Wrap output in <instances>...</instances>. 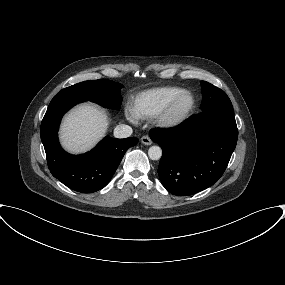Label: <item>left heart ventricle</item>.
<instances>
[{"label": "left heart ventricle", "mask_w": 285, "mask_h": 285, "mask_svg": "<svg viewBox=\"0 0 285 285\" xmlns=\"http://www.w3.org/2000/svg\"><path fill=\"white\" fill-rule=\"evenodd\" d=\"M189 103H190V99H189V98L183 99V100L181 101V103H180L178 109H179L180 111L183 110V109H185V108L189 105Z\"/></svg>", "instance_id": "left-heart-ventricle-1"}]
</instances>
